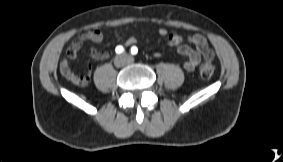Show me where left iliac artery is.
<instances>
[{"label":"left iliac artery","instance_id":"1","mask_svg":"<svg viewBox=\"0 0 283 162\" xmlns=\"http://www.w3.org/2000/svg\"><path fill=\"white\" fill-rule=\"evenodd\" d=\"M138 53V48L136 47V46H133L132 48H131V54L132 55H136Z\"/></svg>","mask_w":283,"mask_h":162}]
</instances>
